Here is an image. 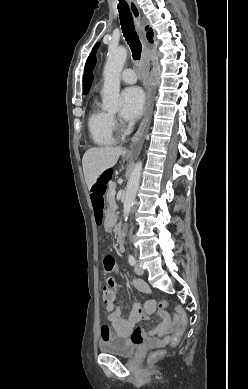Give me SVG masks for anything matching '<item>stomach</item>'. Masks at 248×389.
<instances>
[{"instance_id": "obj_1", "label": "stomach", "mask_w": 248, "mask_h": 389, "mask_svg": "<svg viewBox=\"0 0 248 389\" xmlns=\"http://www.w3.org/2000/svg\"><path fill=\"white\" fill-rule=\"evenodd\" d=\"M106 214V220L105 225L107 226V229L105 230V233L107 235H110L114 231V226L117 224L116 218L117 215L114 212V209L112 207H107L105 209Z\"/></svg>"}]
</instances>
